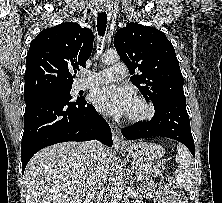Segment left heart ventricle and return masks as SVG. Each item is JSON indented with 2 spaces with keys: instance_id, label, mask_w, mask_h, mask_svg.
I'll return each instance as SVG.
<instances>
[{
  "instance_id": "b2bd125f",
  "label": "left heart ventricle",
  "mask_w": 222,
  "mask_h": 203,
  "mask_svg": "<svg viewBox=\"0 0 222 203\" xmlns=\"http://www.w3.org/2000/svg\"><path fill=\"white\" fill-rule=\"evenodd\" d=\"M141 112H142V107L139 104L132 101V104L130 106L127 115H137Z\"/></svg>"
}]
</instances>
